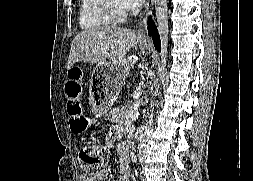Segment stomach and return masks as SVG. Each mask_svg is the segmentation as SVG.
Segmentation results:
<instances>
[{"label":"stomach","mask_w":253,"mask_h":181,"mask_svg":"<svg viewBox=\"0 0 253 181\" xmlns=\"http://www.w3.org/2000/svg\"><path fill=\"white\" fill-rule=\"evenodd\" d=\"M140 45L147 48V45L142 42ZM130 67V61L127 58L117 63L96 65L90 82V91L93 96L91 110L94 115L101 116L111 108L125 83Z\"/></svg>","instance_id":"1"}]
</instances>
